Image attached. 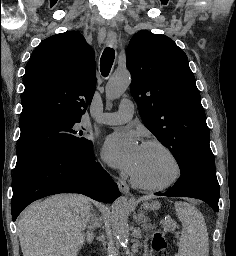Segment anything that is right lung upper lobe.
<instances>
[{"instance_id":"1","label":"right lung upper lobe","mask_w":236,"mask_h":256,"mask_svg":"<svg viewBox=\"0 0 236 256\" xmlns=\"http://www.w3.org/2000/svg\"><path fill=\"white\" fill-rule=\"evenodd\" d=\"M23 82L20 118L53 112L81 119L96 87L93 50L77 31L53 35L32 53Z\"/></svg>"}]
</instances>
